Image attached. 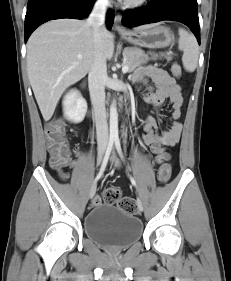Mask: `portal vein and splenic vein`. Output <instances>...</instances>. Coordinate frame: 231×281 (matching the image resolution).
<instances>
[{
  "label": "portal vein and splenic vein",
  "instance_id": "18ae733b",
  "mask_svg": "<svg viewBox=\"0 0 231 281\" xmlns=\"http://www.w3.org/2000/svg\"><path fill=\"white\" fill-rule=\"evenodd\" d=\"M128 70H129V67H128L127 65H124V66L122 67V72H123L124 74L127 73Z\"/></svg>",
  "mask_w": 231,
  "mask_h": 281
}]
</instances>
